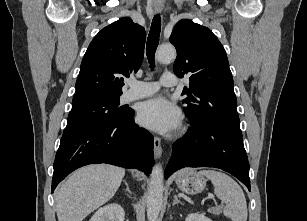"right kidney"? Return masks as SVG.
Instances as JSON below:
<instances>
[{"instance_id": "obj_1", "label": "right kidney", "mask_w": 307, "mask_h": 221, "mask_svg": "<svg viewBox=\"0 0 307 221\" xmlns=\"http://www.w3.org/2000/svg\"><path fill=\"white\" fill-rule=\"evenodd\" d=\"M124 216L121 205L113 203L97 210L89 221H124Z\"/></svg>"}]
</instances>
